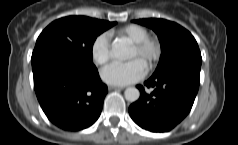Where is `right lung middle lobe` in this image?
<instances>
[{"mask_svg": "<svg viewBox=\"0 0 238 145\" xmlns=\"http://www.w3.org/2000/svg\"><path fill=\"white\" fill-rule=\"evenodd\" d=\"M115 24L86 16L55 20L39 35L31 59L61 55L86 66H95L92 62L93 43L98 35Z\"/></svg>", "mask_w": 238, "mask_h": 145, "instance_id": "1", "label": "right lung middle lobe"}]
</instances>
